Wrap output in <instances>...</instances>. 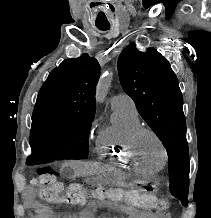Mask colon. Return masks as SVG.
<instances>
[{
	"mask_svg": "<svg viewBox=\"0 0 211 218\" xmlns=\"http://www.w3.org/2000/svg\"><path fill=\"white\" fill-rule=\"evenodd\" d=\"M32 183L37 187L42 199L56 204H81L93 199L161 212L167 209V202L147 189L105 186L87 188L81 184L65 185L57 180L49 167H40Z\"/></svg>",
	"mask_w": 211,
	"mask_h": 218,
	"instance_id": "colon-1",
	"label": "colon"
}]
</instances>
